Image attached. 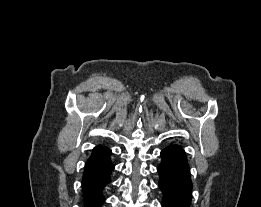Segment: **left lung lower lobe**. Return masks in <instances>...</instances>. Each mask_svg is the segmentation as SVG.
Wrapping results in <instances>:
<instances>
[{
	"label": "left lung lower lobe",
	"mask_w": 261,
	"mask_h": 207,
	"mask_svg": "<svg viewBox=\"0 0 261 207\" xmlns=\"http://www.w3.org/2000/svg\"><path fill=\"white\" fill-rule=\"evenodd\" d=\"M160 156L157 172L163 195L162 207H190L192 181L186 152L181 146L171 144L161 151Z\"/></svg>",
	"instance_id": "obj_1"
}]
</instances>
